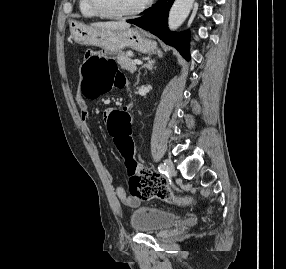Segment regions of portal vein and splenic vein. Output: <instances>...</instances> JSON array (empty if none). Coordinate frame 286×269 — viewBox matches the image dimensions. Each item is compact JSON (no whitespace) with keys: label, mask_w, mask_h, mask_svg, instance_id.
<instances>
[{"label":"portal vein and splenic vein","mask_w":286,"mask_h":269,"mask_svg":"<svg viewBox=\"0 0 286 269\" xmlns=\"http://www.w3.org/2000/svg\"><path fill=\"white\" fill-rule=\"evenodd\" d=\"M134 63L137 64V65H141V64H142V61L139 60V59H135V60H134Z\"/></svg>","instance_id":"1"}]
</instances>
